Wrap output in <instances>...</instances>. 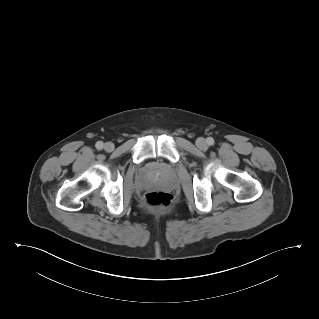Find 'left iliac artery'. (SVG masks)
I'll list each match as a JSON object with an SVG mask.
<instances>
[{"instance_id": "obj_1", "label": "left iliac artery", "mask_w": 319, "mask_h": 319, "mask_svg": "<svg viewBox=\"0 0 319 319\" xmlns=\"http://www.w3.org/2000/svg\"><path fill=\"white\" fill-rule=\"evenodd\" d=\"M207 143L208 145H213L214 144V139L212 137L207 138Z\"/></svg>"}]
</instances>
